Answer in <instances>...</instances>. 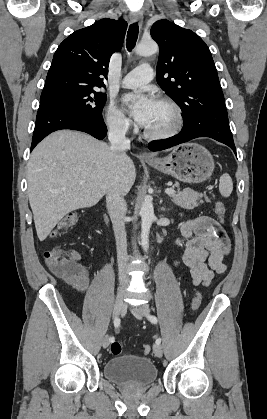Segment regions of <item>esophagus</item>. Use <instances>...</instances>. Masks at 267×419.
Returning <instances> with one entry per match:
<instances>
[{"label": "esophagus", "mask_w": 267, "mask_h": 419, "mask_svg": "<svg viewBox=\"0 0 267 419\" xmlns=\"http://www.w3.org/2000/svg\"><path fill=\"white\" fill-rule=\"evenodd\" d=\"M130 20L131 22H142L143 20V15L141 12H131L129 14ZM142 158L144 159H153L154 156L151 155L150 153L143 151L141 154Z\"/></svg>", "instance_id": "esophagus-1"}]
</instances>
